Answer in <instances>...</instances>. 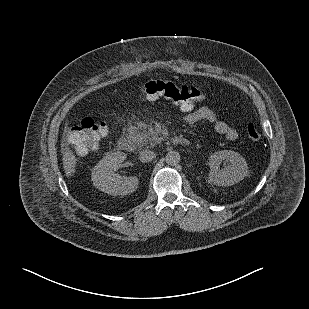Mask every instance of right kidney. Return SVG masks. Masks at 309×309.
<instances>
[{
    "label": "right kidney",
    "instance_id": "obj_1",
    "mask_svg": "<svg viewBox=\"0 0 309 309\" xmlns=\"http://www.w3.org/2000/svg\"><path fill=\"white\" fill-rule=\"evenodd\" d=\"M126 159L123 152H113L105 156L93 169L92 181L96 188L114 196L133 193L139 184L136 176L122 177L116 171Z\"/></svg>",
    "mask_w": 309,
    "mask_h": 309
}]
</instances>
